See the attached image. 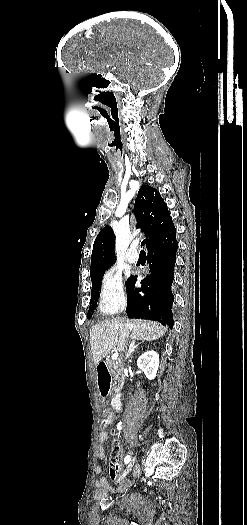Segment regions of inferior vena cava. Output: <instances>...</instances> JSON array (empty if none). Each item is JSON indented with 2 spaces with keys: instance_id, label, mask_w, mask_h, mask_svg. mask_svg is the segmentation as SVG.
<instances>
[{
  "instance_id": "obj_1",
  "label": "inferior vena cava",
  "mask_w": 247,
  "mask_h": 525,
  "mask_svg": "<svg viewBox=\"0 0 247 525\" xmlns=\"http://www.w3.org/2000/svg\"><path fill=\"white\" fill-rule=\"evenodd\" d=\"M124 309H125V307H123L122 311H124ZM129 335H130V333H126V335H125V343H126V347H127V345H128ZM126 357H128V355H126Z\"/></svg>"
}]
</instances>
